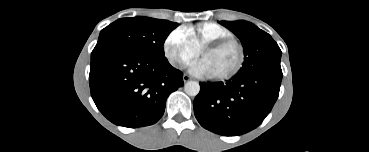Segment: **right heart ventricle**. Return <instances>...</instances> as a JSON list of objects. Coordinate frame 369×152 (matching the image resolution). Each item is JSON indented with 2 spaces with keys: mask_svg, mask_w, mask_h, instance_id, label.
I'll return each mask as SVG.
<instances>
[{
  "mask_svg": "<svg viewBox=\"0 0 369 152\" xmlns=\"http://www.w3.org/2000/svg\"><path fill=\"white\" fill-rule=\"evenodd\" d=\"M182 29L197 52L210 41L231 37L232 35L227 28L215 22H201Z\"/></svg>",
  "mask_w": 369,
  "mask_h": 152,
  "instance_id": "1",
  "label": "right heart ventricle"
}]
</instances>
